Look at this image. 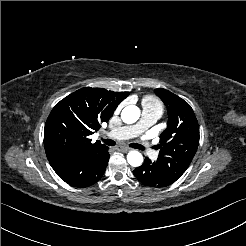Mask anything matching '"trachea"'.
<instances>
[{
    "instance_id": "1",
    "label": "trachea",
    "mask_w": 246,
    "mask_h": 246,
    "mask_svg": "<svg viewBox=\"0 0 246 246\" xmlns=\"http://www.w3.org/2000/svg\"><path fill=\"white\" fill-rule=\"evenodd\" d=\"M106 145H108V146H114L116 143H115V141H113V140H111V139H103L102 140ZM134 148H137V149H140V150H143L144 149V147L143 146H141V145H139V144H135L134 145Z\"/></svg>"
}]
</instances>
